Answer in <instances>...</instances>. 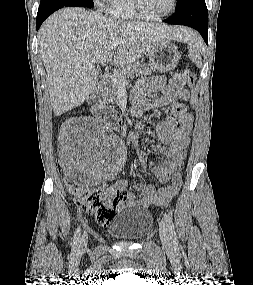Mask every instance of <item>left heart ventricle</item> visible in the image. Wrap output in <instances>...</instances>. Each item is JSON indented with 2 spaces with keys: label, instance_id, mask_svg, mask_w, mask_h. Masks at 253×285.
<instances>
[{
  "label": "left heart ventricle",
  "instance_id": "left-heart-ventricle-1",
  "mask_svg": "<svg viewBox=\"0 0 253 285\" xmlns=\"http://www.w3.org/2000/svg\"><path fill=\"white\" fill-rule=\"evenodd\" d=\"M141 3L144 12L152 16L164 14L172 6V0H141Z\"/></svg>",
  "mask_w": 253,
  "mask_h": 285
}]
</instances>
